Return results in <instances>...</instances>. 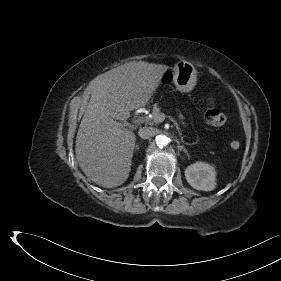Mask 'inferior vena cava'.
<instances>
[{"label":"inferior vena cava","mask_w":281,"mask_h":281,"mask_svg":"<svg viewBox=\"0 0 281 281\" xmlns=\"http://www.w3.org/2000/svg\"><path fill=\"white\" fill-rule=\"evenodd\" d=\"M138 134L142 139H149L156 134V130L152 127H143L139 129Z\"/></svg>","instance_id":"inferior-vena-cava-1"}]
</instances>
